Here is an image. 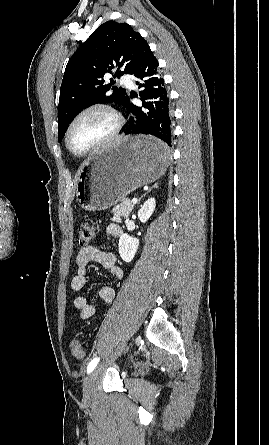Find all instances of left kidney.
<instances>
[{"label":"left kidney","mask_w":269,"mask_h":445,"mask_svg":"<svg viewBox=\"0 0 269 445\" xmlns=\"http://www.w3.org/2000/svg\"><path fill=\"white\" fill-rule=\"evenodd\" d=\"M156 207L154 198L148 199L138 211V218L142 223L149 220ZM139 246V240L128 234L121 235L119 239V254L123 261L130 262L133 260Z\"/></svg>","instance_id":"1"}]
</instances>
